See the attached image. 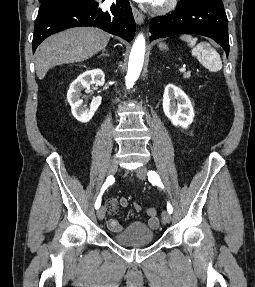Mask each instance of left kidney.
I'll use <instances>...</instances> for the list:
<instances>
[{
  "instance_id": "5707ae66",
  "label": "left kidney",
  "mask_w": 255,
  "mask_h": 287,
  "mask_svg": "<svg viewBox=\"0 0 255 287\" xmlns=\"http://www.w3.org/2000/svg\"><path fill=\"white\" fill-rule=\"evenodd\" d=\"M163 112L174 126L182 128H188L195 116L188 96L174 84H167L164 90Z\"/></svg>"
}]
</instances>
